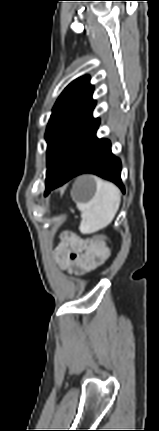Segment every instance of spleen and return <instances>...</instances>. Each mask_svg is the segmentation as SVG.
<instances>
[{"label":"spleen","instance_id":"obj_1","mask_svg":"<svg viewBox=\"0 0 159 431\" xmlns=\"http://www.w3.org/2000/svg\"><path fill=\"white\" fill-rule=\"evenodd\" d=\"M96 184V193L92 200L88 203H77L81 211L82 233H94L107 227L121 203V192L113 183L96 178Z\"/></svg>","mask_w":159,"mask_h":431}]
</instances>
